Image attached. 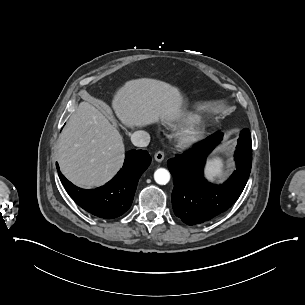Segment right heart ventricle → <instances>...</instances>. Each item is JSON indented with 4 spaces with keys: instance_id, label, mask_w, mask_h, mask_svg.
Returning a JSON list of instances; mask_svg holds the SVG:
<instances>
[{
    "instance_id": "1",
    "label": "right heart ventricle",
    "mask_w": 305,
    "mask_h": 305,
    "mask_svg": "<svg viewBox=\"0 0 305 305\" xmlns=\"http://www.w3.org/2000/svg\"><path fill=\"white\" fill-rule=\"evenodd\" d=\"M199 119V115L196 113H186L180 116L176 121H165L164 126L168 128H176L179 123H188Z\"/></svg>"
}]
</instances>
